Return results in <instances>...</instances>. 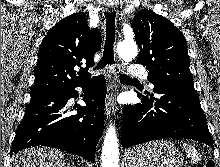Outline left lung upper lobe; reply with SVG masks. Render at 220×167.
<instances>
[{"mask_svg":"<svg viewBox=\"0 0 220 167\" xmlns=\"http://www.w3.org/2000/svg\"><path fill=\"white\" fill-rule=\"evenodd\" d=\"M132 27L140 48L136 63L149 70L153 90L167 85L194 89L183 33L170 20L151 10L137 12Z\"/></svg>","mask_w":220,"mask_h":167,"instance_id":"5c2ea615","label":"left lung upper lobe"}]
</instances>
